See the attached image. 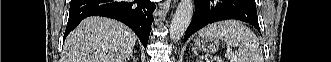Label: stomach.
Instances as JSON below:
<instances>
[{
  "mask_svg": "<svg viewBox=\"0 0 331 62\" xmlns=\"http://www.w3.org/2000/svg\"><path fill=\"white\" fill-rule=\"evenodd\" d=\"M196 48L207 52V53H214L219 49V39L217 38H204V37H197L194 40Z\"/></svg>",
  "mask_w": 331,
  "mask_h": 62,
  "instance_id": "1",
  "label": "stomach"
}]
</instances>
